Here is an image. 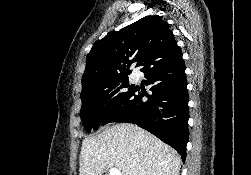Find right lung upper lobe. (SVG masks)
Masks as SVG:
<instances>
[{
	"mask_svg": "<svg viewBox=\"0 0 251 175\" xmlns=\"http://www.w3.org/2000/svg\"><path fill=\"white\" fill-rule=\"evenodd\" d=\"M181 59L182 52L169 24L158 15L146 16L94 43L86 58L82 88L128 76L135 61L143 66L141 71L145 74Z\"/></svg>",
	"mask_w": 251,
	"mask_h": 175,
	"instance_id": "cb5924a9",
	"label": "right lung upper lobe"
}]
</instances>
